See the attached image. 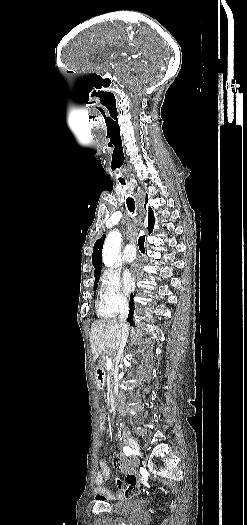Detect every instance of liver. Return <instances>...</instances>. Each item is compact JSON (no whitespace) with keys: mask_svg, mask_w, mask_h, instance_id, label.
Here are the masks:
<instances>
[{"mask_svg":"<svg viewBox=\"0 0 247 525\" xmlns=\"http://www.w3.org/2000/svg\"><path fill=\"white\" fill-rule=\"evenodd\" d=\"M122 329L117 319H102L91 327V349L93 361L106 351H117Z\"/></svg>","mask_w":247,"mask_h":525,"instance_id":"liver-1","label":"liver"}]
</instances>
